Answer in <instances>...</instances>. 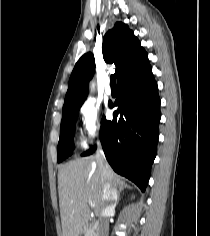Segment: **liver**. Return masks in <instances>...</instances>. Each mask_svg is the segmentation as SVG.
Here are the masks:
<instances>
[{"mask_svg":"<svg viewBox=\"0 0 210 236\" xmlns=\"http://www.w3.org/2000/svg\"><path fill=\"white\" fill-rule=\"evenodd\" d=\"M111 185L123 181L110 168ZM104 177L95 156L69 161L58 172V194L63 236H81L89 221V204L102 208Z\"/></svg>","mask_w":210,"mask_h":236,"instance_id":"1","label":"liver"}]
</instances>
